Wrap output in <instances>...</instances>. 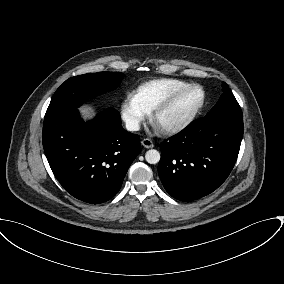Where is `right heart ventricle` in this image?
Returning a JSON list of instances; mask_svg holds the SVG:
<instances>
[{
    "instance_id": "obj_1",
    "label": "right heart ventricle",
    "mask_w": 284,
    "mask_h": 284,
    "mask_svg": "<svg viewBox=\"0 0 284 284\" xmlns=\"http://www.w3.org/2000/svg\"><path fill=\"white\" fill-rule=\"evenodd\" d=\"M188 84L179 79H154L139 85L134 95L142 107L150 113L172 93Z\"/></svg>"
}]
</instances>
